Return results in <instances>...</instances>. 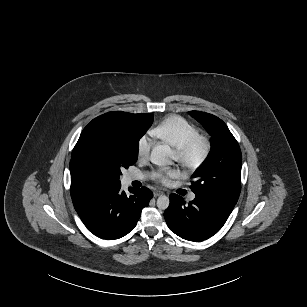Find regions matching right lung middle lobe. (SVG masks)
<instances>
[{"label": "right lung middle lobe", "mask_w": 307, "mask_h": 307, "mask_svg": "<svg viewBox=\"0 0 307 307\" xmlns=\"http://www.w3.org/2000/svg\"><path fill=\"white\" fill-rule=\"evenodd\" d=\"M119 116L106 113L93 119L82 131L72 159L100 184H120L121 168L138 158L140 137L135 129L118 125Z\"/></svg>", "instance_id": "right-lung-middle-lobe-1"}]
</instances>
